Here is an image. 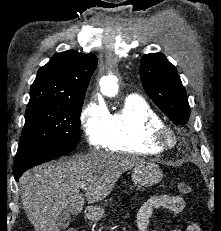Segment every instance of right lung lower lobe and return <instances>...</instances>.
<instances>
[{
	"instance_id": "98d812e1",
	"label": "right lung lower lobe",
	"mask_w": 221,
	"mask_h": 231,
	"mask_svg": "<svg viewBox=\"0 0 221 231\" xmlns=\"http://www.w3.org/2000/svg\"><path fill=\"white\" fill-rule=\"evenodd\" d=\"M73 148H63V149H49V150H42L36 153L29 155L28 157L24 158L18 164L13 166V173L15 175V180L18 181L21 177L22 173L26 170L44 163L46 161H50L61 156L67 155L70 153Z\"/></svg>"
}]
</instances>
